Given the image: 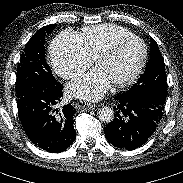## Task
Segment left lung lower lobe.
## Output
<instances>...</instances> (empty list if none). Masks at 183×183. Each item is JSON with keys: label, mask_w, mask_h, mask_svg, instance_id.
Instances as JSON below:
<instances>
[{"label": "left lung lower lobe", "mask_w": 183, "mask_h": 183, "mask_svg": "<svg viewBox=\"0 0 183 183\" xmlns=\"http://www.w3.org/2000/svg\"><path fill=\"white\" fill-rule=\"evenodd\" d=\"M115 100V119L104 130L107 140L121 149L133 150L142 146L158 127L164 106L126 92L115 96Z\"/></svg>", "instance_id": "obj_1"}]
</instances>
